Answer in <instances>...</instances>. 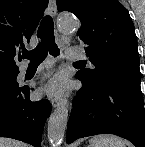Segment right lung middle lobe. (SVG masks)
<instances>
[{"instance_id":"right-lung-middle-lobe-1","label":"right lung middle lobe","mask_w":145,"mask_h":147,"mask_svg":"<svg viewBox=\"0 0 145 147\" xmlns=\"http://www.w3.org/2000/svg\"><path fill=\"white\" fill-rule=\"evenodd\" d=\"M17 75H18V72L0 74V86H4L6 88L17 87L18 86L16 82Z\"/></svg>"}]
</instances>
